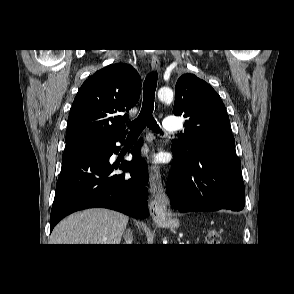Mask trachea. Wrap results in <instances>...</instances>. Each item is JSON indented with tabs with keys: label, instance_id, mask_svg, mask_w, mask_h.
<instances>
[{
	"label": "trachea",
	"instance_id": "1",
	"mask_svg": "<svg viewBox=\"0 0 294 294\" xmlns=\"http://www.w3.org/2000/svg\"><path fill=\"white\" fill-rule=\"evenodd\" d=\"M157 87V73H150L143 85V104L138 117L128 122L129 136H139L145 127L159 133L160 128L153 117L155 91Z\"/></svg>",
	"mask_w": 294,
	"mask_h": 294
}]
</instances>
